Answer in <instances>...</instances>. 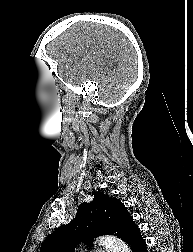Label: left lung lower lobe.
Returning <instances> with one entry per match:
<instances>
[{
  "label": "left lung lower lobe",
  "instance_id": "0a47b994",
  "mask_svg": "<svg viewBox=\"0 0 193 252\" xmlns=\"http://www.w3.org/2000/svg\"><path fill=\"white\" fill-rule=\"evenodd\" d=\"M132 252H147L146 242L141 236L139 228L136 226L128 239Z\"/></svg>",
  "mask_w": 193,
  "mask_h": 252
}]
</instances>
